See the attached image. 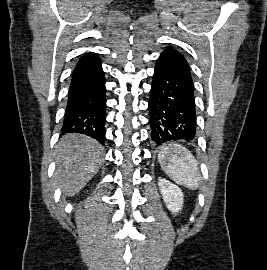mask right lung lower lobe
Listing matches in <instances>:
<instances>
[{
  "mask_svg": "<svg viewBox=\"0 0 267 270\" xmlns=\"http://www.w3.org/2000/svg\"><path fill=\"white\" fill-rule=\"evenodd\" d=\"M105 77L100 59L82 56L72 75L62 134L81 133L100 143L105 141Z\"/></svg>",
  "mask_w": 267,
  "mask_h": 270,
  "instance_id": "obj_1",
  "label": "right lung lower lobe"
}]
</instances>
